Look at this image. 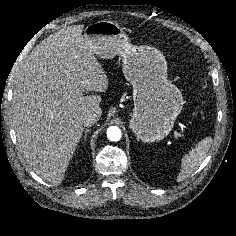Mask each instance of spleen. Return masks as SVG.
<instances>
[{
	"label": "spleen",
	"instance_id": "obj_1",
	"mask_svg": "<svg viewBox=\"0 0 236 236\" xmlns=\"http://www.w3.org/2000/svg\"><path fill=\"white\" fill-rule=\"evenodd\" d=\"M212 144V138L206 137L201 140L195 148L182 158L181 170L177 176V181L181 182L187 179L195 172L205 159L207 152Z\"/></svg>",
	"mask_w": 236,
	"mask_h": 236
}]
</instances>
